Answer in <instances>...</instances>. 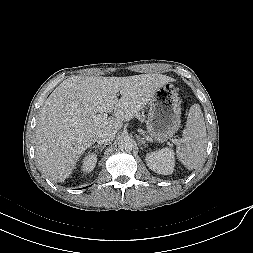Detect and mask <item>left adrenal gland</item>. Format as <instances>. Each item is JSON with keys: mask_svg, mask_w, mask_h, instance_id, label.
<instances>
[{"mask_svg": "<svg viewBox=\"0 0 253 253\" xmlns=\"http://www.w3.org/2000/svg\"><path fill=\"white\" fill-rule=\"evenodd\" d=\"M137 138H138V143H139L140 145L146 143V141L144 140V138H141L140 136H137Z\"/></svg>", "mask_w": 253, "mask_h": 253, "instance_id": "a2214340", "label": "left adrenal gland"}]
</instances>
